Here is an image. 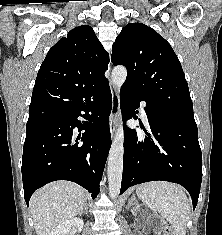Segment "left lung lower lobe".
Instances as JSON below:
<instances>
[{"mask_svg":"<svg viewBox=\"0 0 222 235\" xmlns=\"http://www.w3.org/2000/svg\"><path fill=\"white\" fill-rule=\"evenodd\" d=\"M145 99L123 84L120 103L123 119H136L135 109ZM146 102V101H145ZM150 131L146 137L125 127L123 176L120 194L148 181H169L190 193L195 209L202 181V154L197 125L192 117L146 102ZM137 112V111H136Z\"/></svg>","mask_w":222,"mask_h":235,"instance_id":"0a47b994","label":"left lung lower lobe"}]
</instances>
